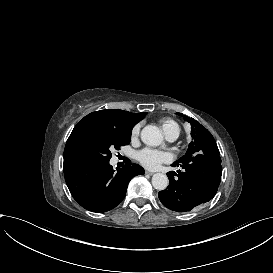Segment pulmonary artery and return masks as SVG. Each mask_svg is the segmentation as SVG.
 <instances>
[{
	"label": "pulmonary artery",
	"instance_id": "e3ab8cb5",
	"mask_svg": "<svg viewBox=\"0 0 273 273\" xmlns=\"http://www.w3.org/2000/svg\"><path fill=\"white\" fill-rule=\"evenodd\" d=\"M166 137H167V140L170 142H173L176 139L175 135H173V134H168V135H166Z\"/></svg>",
	"mask_w": 273,
	"mask_h": 273
}]
</instances>
